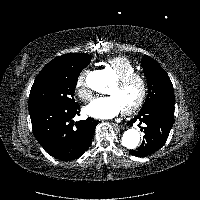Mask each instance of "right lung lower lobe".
<instances>
[{
    "mask_svg": "<svg viewBox=\"0 0 200 200\" xmlns=\"http://www.w3.org/2000/svg\"><path fill=\"white\" fill-rule=\"evenodd\" d=\"M80 106H51L29 110L33 134L53 157L68 161L82 156L91 144L97 121L73 122Z\"/></svg>",
    "mask_w": 200,
    "mask_h": 200,
    "instance_id": "1",
    "label": "right lung lower lobe"
}]
</instances>
